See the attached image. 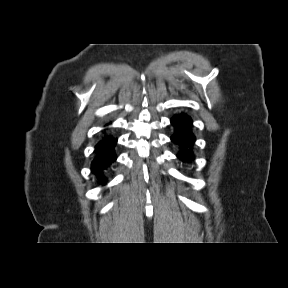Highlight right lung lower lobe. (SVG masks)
Returning a JSON list of instances; mask_svg holds the SVG:
<instances>
[{
  "mask_svg": "<svg viewBox=\"0 0 288 288\" xmlns=\"http://www.w3.org/2000/svg\"><path fill=\"white\" fill-rule=\"evenodd\" d=\"M116 143V138L107 136L95 147L96 157L91 164L92 172L103 185L106 183V178L103 173L110 168L111 164L117 158L114 150Z\"/></svg>",
  "mask_w": 288,
  "mask_h": 288,
  "instance_id": "right-lung-lower-lobe-1",
  "label": "right lung lower lobe"
}]
</instances>
